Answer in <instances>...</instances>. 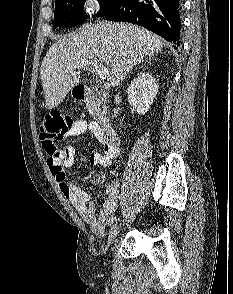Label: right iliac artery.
<instances>
[{
    "label": "right iliac artery",
    "instance_id": "obj_1",
    "mask_svg": "<svg viewBox=\"0 0 233 294\" xmlns=\"http://www.w3.org/2000/svg\"><path fill=\"white\" fill-rule=\"evenodd\" d=\"M115 220H116V217H111V218L107 221V225L110 226Z\"/></svg>",
    "mask_w": 233,
    "mask_h": 294
}]
</instances>
